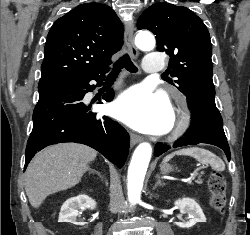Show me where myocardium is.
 I'll return each mask as SVG.
<instances>
[{
	"instance_id": "1",
	"label": "myocardium",
	"mask_w": 250,
	"mask_h": 235,
	"mask_svg": "<svg viewBox=\"0 0 250 235\" xmlns=\"http://www.w3.org/2000/svg\"><path fill=\"white\" fill-rule=\"evenodd\" d=\"M190 113L185 102L173 113V125L169 134V139H176L182 136L190 126Z\"/></svg>"
}]
</instances>
